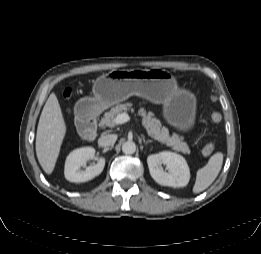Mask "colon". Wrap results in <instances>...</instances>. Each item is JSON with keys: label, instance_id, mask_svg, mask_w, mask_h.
Returning <instances> with one entry per match:
<instances>
[{"label": "colon", "instance_id": "obj_1", "mask_svg": "<svg viewBox=\"0 0 261 254\" xmlns=\"http://www.w3.org/2000/svg\"><path fill=\"white\" fill-rule=\"evenodd\" d=\"M64 94L68 97L70 95V89H66ZM210 119L213 123L219 124L222 121V115L221 113L214 111L210 114ZM214 149L215 144L213 142H209L203 147L202 153L204 156H210L213 153Z\"/></svg>", "mask_w": 261, "mask_h": 254}]
</instances>
